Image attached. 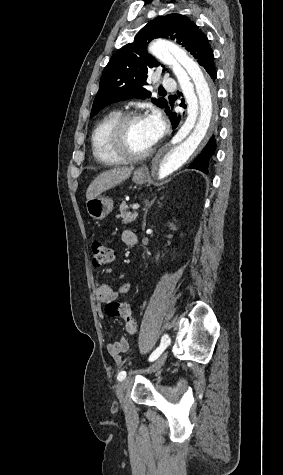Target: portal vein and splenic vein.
I'll return each instance as SVG.
<instances>
[{"label":"portal vein and splenic vein","instance_id":"1","mask_svg":"<svg viewBox=\"0 0 283 475\" xmlns=\"http://www.w3.org/2000/svg\"><path fill=\"white\" fill-rule=\"evenodd\" d=\"M132 210H138L140 208L139 204H132L131 206Z\"/></svg>","mask_w":283,"mask_h":475}]
</instances>
